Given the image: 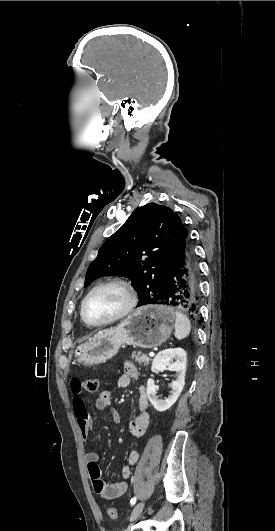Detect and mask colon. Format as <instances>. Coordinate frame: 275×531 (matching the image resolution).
Instances as JSON below:
<instances>
[{
	"mask_svg": "<svg viewBox=\"0 0 275 531\" xmlns=\"http://www.w3.org/2000/svg\"><path fill=\"white\" fill-rule=\"evenodd\" d=\"M82 390H83V392H88V393L98 392V390H99L98 379L97 378H87V379H85V381H83V383H82ZM109 514H110L111 521L113 523H116L118 521L117 511L115 509H111L109 511Z\"/></svg>",
	"mask_w": 275,
	"mask_h": 531,
	"instance_id": "5ec220e1",
	"label": "colon"
}]
</instances>
